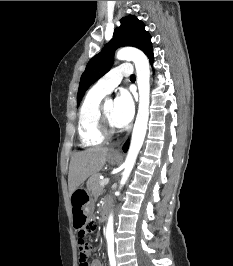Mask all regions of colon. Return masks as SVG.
Listing matches in <instances>:
<instances>
[{"label": "colon", "instance_id": "5ec220e1", "mask_svg": "<svg viewBox=\"0 0 233 266\" xmlns=\"http://www.w3.org/2000/svg\"><path fill=\"white\" fill-rule=\"evenodd\" d=\"M85 227L86 232H78V247L80 250L79 266H88L91 246L87 243L86 236L96 229V225L93 222H89V225Z\"/></svg>", "mask_w": 233, "mask_h": 266}]
</instances>
